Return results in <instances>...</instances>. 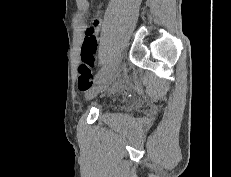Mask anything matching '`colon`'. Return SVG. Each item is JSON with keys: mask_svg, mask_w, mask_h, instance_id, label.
Returning a JSON list of instances; mask_svg holds the SVG:
<instances>
[{"mask_svg": "<svg viewBox=\"0 0 231 177\" xmlns=\"http://www.w3.org/2000/svg\"><path fill=\"white\" fill-rule=\"evenodd\" d=\"M97 47V36L88 30L81 48V64L78 69V86L80 90H87L93 84V67Z\"/></svg>", "mask_w": 231, "mask_h": 177, "instance_id": "colon-1", "label": "colon"}]
</instances>
